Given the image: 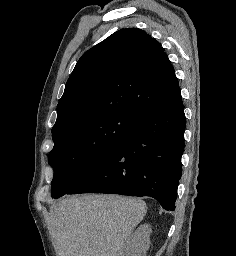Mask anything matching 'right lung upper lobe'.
Here are the masks:
<instances>
[{"mask_svg":"<svg viewBox=\"0 0 236 256\" xmlns=\"http://www.w3.org/2000/svg\"><path fill=\"white\" fill-rule=\"evenodd\" d=\"M179 94L160 43L141 29H122L79 59L57 105L51 132L118 112L140 120Z\"/></svg>","mask_w":236,"mask_h":256,"instance_id":"right-lung-upper-lobe-1","label":"right lung upper lobe"}]
</instances>
